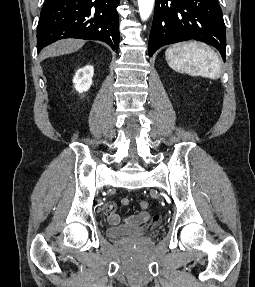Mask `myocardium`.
Here are the masks:
<instances>
[{"label": "myocardium", "instance_id": "myocardium-1", "mask_svg": "<svg viewBox=\"0 0 255 287\" xmlns=\"http://www.w3.org/2000/svg\"><path fill=\"white\" fill-rule=\"evenodd\" d=\"M158 48H169V47H158Z\"/></svg>", "mask_w": 255, "mask_h": 287}]
</instances>
